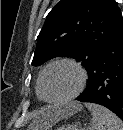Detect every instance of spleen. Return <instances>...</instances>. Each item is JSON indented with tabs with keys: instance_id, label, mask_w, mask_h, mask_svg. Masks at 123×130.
I'll return each instance as SVG.
<instances>
[{
	"instance_id": "3e777b00",
	"label": "spleen",
	"mask_w": 123,
	"mask_h": 130,
	"mask_svg": "<svg viewBox=\"0 0 123 130\" xmlns=\"http://www.w3.org/2000/svg\"><path fill=\"white\" fill-rule=\"evenodd\" d=\"M85 106L92 114L89 130H123V121L107 108L93 103Z\"/></svg>"
}]
</instances>
